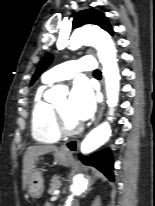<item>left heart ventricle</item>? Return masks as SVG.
Wrapping results in <instances>:
<instances>
[{
    "instance_id": "1",
    "label": "left heart ventricle",
    "mask_w": 155,
    "mask_h": 206,
    "mask_svg": "<svg viewBox=\"0 0 155 206\" xmlns=\"http://www.w3.org/2000/svg\"><path fill=\"white\" fill-rule=\"evenodd\" d=\"M56 108L64 117L67 123L74 125L77 124L78 121L74 120L68 113V100L66 98L60 99L55 103Z\"/></svg>"
}]
</instances>
